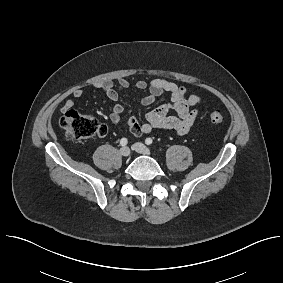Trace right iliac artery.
I'll list each match as a JSON object with an SVG mask.
<instances>
[{
	"mask_svg": "<svg viewBox=\"0 0 283 283\" xmlns=\"http://www.w3.org/2000/svg\"><path fill=\"white\" fill-rule=\"evenodd\" d=\"M127 143H128V140H127L126 138H122V139L120 140L121 146H126Z\"/></svg>",
	"mask_w": 283,
	"mask_h": 283,
	"instance_id": "82829eb1",
	"label": "right iliac artery"
}]
</instances>
